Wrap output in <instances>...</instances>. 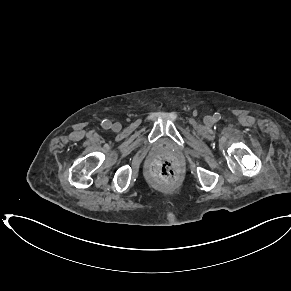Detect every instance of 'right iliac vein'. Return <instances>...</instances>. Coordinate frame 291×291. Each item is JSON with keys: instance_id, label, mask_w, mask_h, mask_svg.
Returning <instances> with one entry per match:
<instances>
[{"instance_id": "63e3f726", "label": "right iliac vein", "mask_w": 291, "mask_h": 291, "mask_svg": "<svg viewBox=\"0 0 291 291\" xmlns=\"http://www.w3.org/2000/svg\"><path fill=\"white\" fill-rule=\"evenodd\" d=\"M112 129L114 131H119L121 129V125L119 123H115L113 124Z\"/></svg>"}]
</instances>
